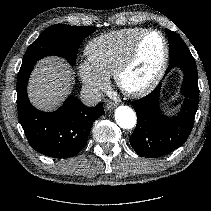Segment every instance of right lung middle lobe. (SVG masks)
Returning a JSON list of instances; mask_svg holds the SVG:
<instances>
[{
	"instance_id": "dd1d6c3e",
	"label": "right lung middle lobe",
	"mask_w": 211,
	"mask_h": 211,
	"mask_svg": "<svg viewBox=\"0 0 211 211\" xmlns=\"http://www.w3.org/2000/svg\"><path fill=\"white\" fill-rule=\"evenodd\" d=\"M94 31V27L53 25L43 31L28 47L23 57L22 66L50 55L63 57L71 65H74L81 42Z\"/></svg>"
}]
</instances>
